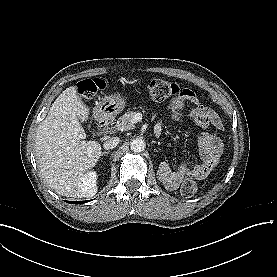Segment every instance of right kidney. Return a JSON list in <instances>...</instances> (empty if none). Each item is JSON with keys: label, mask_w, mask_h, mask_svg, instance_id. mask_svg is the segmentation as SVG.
<instances>
[{"label": "right kidney", "mask_w": 277, "mask_h": 277, "mask_svg": "<svg viewBox=\"0 0 277 277\" xmlns=\"http://www.w3.org/2000/svg\"><path fill=\"white\" fill-rule=\"evenodd\" d=\"M97 173L88 171L80 178L81 190L86 196H93L97 192Z\"/></svg>", "instance_id": "ca27d5eb"}]
</instances>
